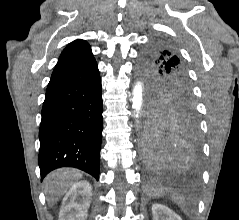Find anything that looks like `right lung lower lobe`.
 <instances>
[{"mask_svg":"<svg viewBox=\"0 0 239 220\" xmlns=\"http://www.w3.org/2000/svg\"><path fill=\"white\" fill-rule=\"evenodd\" d=\"M102 123L101 80L95 59L51 77L39 130L41 179L54 169L75 167L98 180Z\"/></svg>","mask_w":239,"mask_h":220,"instance_id":"right-lung-lower-lobe-1","label":"right lung lower lobe"}]
</instances>
